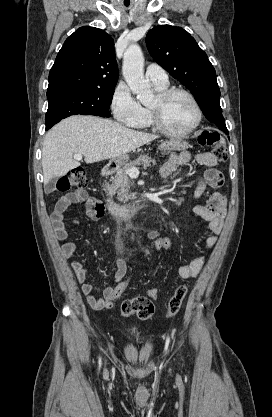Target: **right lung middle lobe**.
I'll return each instance as SVG.
<instances>
[{"mask_svg":"<svg viewBox=\"0 0 272 417\" xmlns=\"http://www.w3.org/2000/svg\"><path fill=\"white\" fill-rule=\"evenodd\" d=\"M115 86L107 89H61L47 92L46 129L71 115L110 117L109 106Z\"/></svg>","mask_w":272,"mask_h":417,"instance_id":"dd1d6c3e","label":"right lung middle lobe"}]
</instances>
